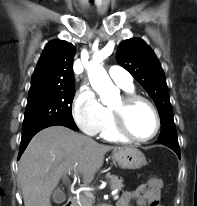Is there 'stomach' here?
I'll list each match as a JSON object with an SVG mask.
<instances>
[{"label": "stomach", "mask_w": 197, "mask_h": 206, "mask_svg": "<svg viewBox=\"0 0 197 206\" xmlns=\"http://www.w3.org/2000/svg\"><path fill=\"white\" fill-rule=\"evenodd\" d=\"M113 159L124 169H139L146 165V157L136 148L114 150Z\"/></svg>", "instance_id": "obj_1"}]
</instances>
